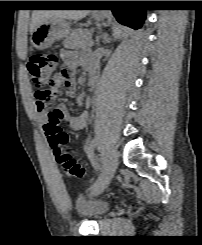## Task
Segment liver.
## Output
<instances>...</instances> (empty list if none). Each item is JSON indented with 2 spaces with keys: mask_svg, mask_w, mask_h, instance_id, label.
Returning a JSON list of instances; mask_svg holds the SVG:
<instances>
[{
  "mask_svg": "<svg viewBox=\"0 0 202 245\" xmlns=\"http://www.w3.org/2000/svg\"><path fill=\"white\" fill-rule=\"evenodd\" d=\"M89 14V10H34L30 24L32 33L44 20L62 18L67 20H80Z\"/></svg>",
  "mask_w": 202,
  "mask_h": 245,
  "instance_id": "liver-1",
  "label": "liver"
}]
</instances>
